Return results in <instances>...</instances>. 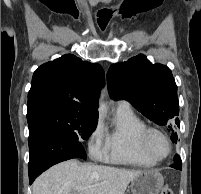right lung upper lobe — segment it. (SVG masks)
<instances>
[{
	"mask_svg": "<svg viewBox=\"0 0 201 194\" xmlns=\"http://www.w3.org/2000/svg\"><path fill=\"white\" fill-rule=\"evenodd\" d=\"M104 80L99 64L67 54L41 65L34 72L28 105L53 100L66 104L77 114L98 117L97 99Z\"/></svg>",
	"mask_w": 201,
	"mask_h": 194,
	"instance_id": "1",
	"label": "right lung upper lobe"
}]
</instances>
